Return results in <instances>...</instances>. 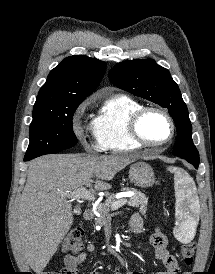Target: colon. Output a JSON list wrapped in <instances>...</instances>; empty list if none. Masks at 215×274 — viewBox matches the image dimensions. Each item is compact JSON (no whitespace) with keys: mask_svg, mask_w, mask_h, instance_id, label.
Returning a JSON list of instances; mask_svg holds the SVG:
<instances>
[{"mask_svg":"<svg viewBox=\"0 0 215 274\" xmlns=\"http://www.w3.org/2000/svg\"><path fill=\"white\" fill-rule=\"evenodd\" d=\"M84 235V231L82 228L77 227L72 229L63 242V250L69 252H78L82 249L83 242L82 238ZM195 253V245L187 244L182 248V257L187 265H191L193 263ZM43 274H68L66 270H60L57 272H45Z\"/></svg>","mask_w":215,"mask_h":274,"instance_id":"5ec220e1","label":"colon"}]
</instances>
